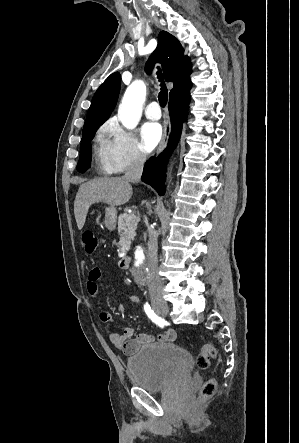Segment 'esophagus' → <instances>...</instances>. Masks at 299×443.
I'll return each instance as SVG.
<instances>
[{
  "label": "esophagus",
  "mask_w": 299,
  "mask_h": 443,
  "mask_svg": "<svg viewBox=\"0 0 299 443\" xmlns=\"http://www.w3.org/2000/svg\"><path fill=\"white\" fill-rule=\"evenodd\" d=\"M170 131H171V123H170V119L167 118L165 121V124H164L163 136H162L161 142L157 148V154L161 153L164 150V148L166 147L169 136H170Z\"/></svg>",
  "instance_id": "esophagus-1"
}]
</instances>
